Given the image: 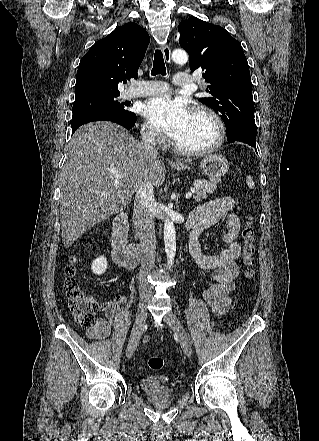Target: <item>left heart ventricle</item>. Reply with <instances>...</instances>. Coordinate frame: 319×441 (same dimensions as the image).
Wrapping results in <instances>:
<instances>
[{
	"instance_id": "left-heart-ventricle-1",
	"label": "left heart ventricle",
	"mask_w": 319,
	"mask_h": 441,
	"mask_svg": "<svg viewBox=\"0 0 319 441\" xmlns=\"http://www.w3.org/2000/svg\"><path fill=\"white\" fill-rule=\"evenodd\" d=\"M215 137V125L208 116L190 113L187 123L174 140L185 148H200L209 145Z\"/></svg>"
}]
</instances>
